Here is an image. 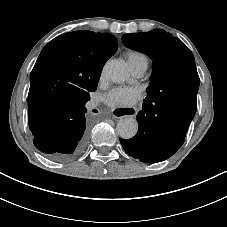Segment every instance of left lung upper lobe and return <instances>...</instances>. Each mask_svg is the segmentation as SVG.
I'll list each match as a JSON object with an SVG mask.
<instances>
[{
    "mask_svg": "<svg viewBox=\"0 0 227 227\" xmlns=\"http://www.w3.org/2000/svg\"><path fill=\"white\" fill-rule=\"evenodd\" d=\"M122 40L127 47L139 50L153 59V73L145 100L155 96H169L174 88L189 78L199 77L190 49L164 30L125 34Z\"/></svg>",
    "mask_w": 227,
    "mask_h": 227,
    "instance_id": "5c2ea615",
    "label": "left lung upper lobe"
}]
</instances>
